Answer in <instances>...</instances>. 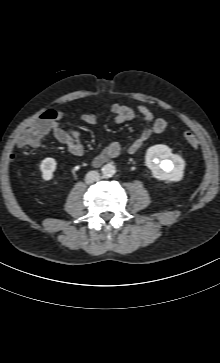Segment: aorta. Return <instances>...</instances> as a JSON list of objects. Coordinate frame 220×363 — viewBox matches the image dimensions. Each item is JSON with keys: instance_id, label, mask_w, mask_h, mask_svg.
<instances>
[{"instance_id": "762f6f07", "label": "aorta", "mask_w": 220, "mask_h": 363, "mask_svg": "<svg viewBox=\"0 0 220 363\" xmlns=\"http://www.w3.org/2000/svg\"><path fill=\"white\" fill-rule=\"evenodd\" d=\"M101 170H102L103 176H105V177H112L116 172L115 166L110 163L104 165Z\"/></svg>"}]
</instances>
